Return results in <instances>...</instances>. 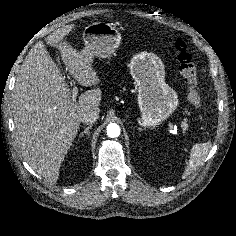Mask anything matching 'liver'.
<instances>
[{"instance_id":"liver-1","label":"liver","mask_w":236,"mask_h":236,"mask_svg":"<svg viewBox=\"0 0 236 236\" xmlns=\"http://www.w3.org/2000/svg\"><path fill=\"white\" fill-rule=\"evenodd\" d=\"M73 28L67 25L54 31L46 42L59 50L66 70L80 85L96 87L100 79L91 62L62 42ZM101 95V90L94 88L73 101L65 76L43 42L36 43L25 57L12 94L15 137L25 161L47 182L58 180L61 163L78 133L81 114L99 111Z\"/></svg>"}]
</instances>
